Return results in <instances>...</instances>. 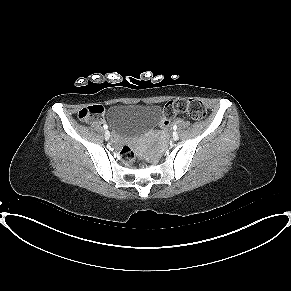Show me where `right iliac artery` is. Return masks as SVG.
Segmentation results:
<instances>
[{
    "label": "right iliac artery",
    "instance_id": "right-iliac-artery-1",
    "mask_svg": "<svg viewBox=\"0 0 291 291\" xmlns=\"http://www.w3.org/2000/svg\"><path fill=\"white\" fill-rule=\"evenodd\" d=\"M103 128H104V129H107V128H108V126H107L106 124H104V125H103Z\"/></svg>",
    "mask_w": 291,
    "mask_h": 291
}]
</instances>
